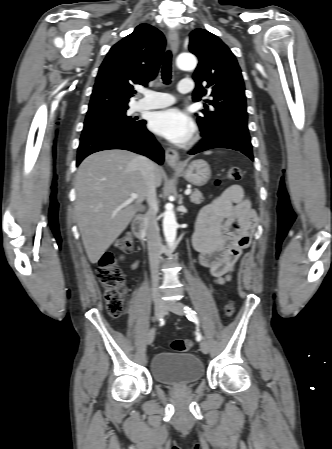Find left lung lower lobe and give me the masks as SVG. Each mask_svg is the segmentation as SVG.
Masks as SVG:
<instances>
[{
	"instance_id": "obj_1",
	"label": "left lung lower lobe",
	"mask_w": 332,
	"mask_h": 449,
	"mask_svg": "<svg viewBox=\"0 0 332 449\" xmlns=\"http://www.w3.org/2000/svg\"><path fill=\"white\" fill-rule=\"evenodd\" d=\"M203 139L198 147L189 152L194 155L196 153L213 149V148H228L242 152L251 160H254L252 154L251 138L248 132L247 125L244 124H230L223 126L213 133L202 136Z\"/></svg>"
}]
</instances>
